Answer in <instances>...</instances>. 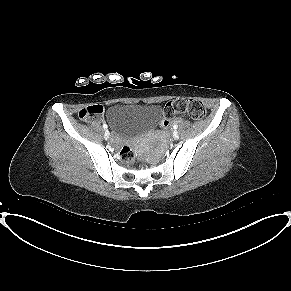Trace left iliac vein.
<instances>
[{
	"mask_svg": "<svg viewBox=\"0 0 291 291\" xmlns=\"http://www.w3.org/2000/svg\"><path fill=\"white\" fill-rule=\"evenodd\" d=\"M173 138H174L175 140H177V139L179 138V134H178L177 131H174V133H173Z\"/></svg>",
	"mask_w": 291,
	"mask_h": 291,
	"instance_id": "obj_1",
	"label": "left iliac vein"
}]
</instances>
